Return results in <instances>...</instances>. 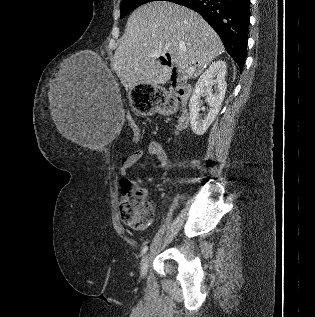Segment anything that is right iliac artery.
<instances>
[{"label": "right iliac artery", "instance_id": "obj_1", "mask_svg": "<svg viewBox=\"0 0 315 317\" xmlns=\"http://www.w3.org/2000/svg\"><path fill=\"white\" fill-rule=\"evenodd\" d=\"M147 249H148L147 246H144V247L142 248V251H141L142 255L146 253Z\"/></svg>", "mask_w": 315, "mask_h": 317}]
</instances>
